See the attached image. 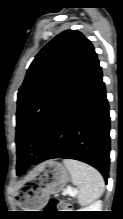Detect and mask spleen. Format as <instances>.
I'll return each mask as SVG.
<instances>
[{"label":"spleen","mask_w":123,"mask_h":219,"mask_svg":"<svg viewBox=\"0 0 123 219\" xmlns=\"http://www.w3.org/2000/svg\"><path fill=\"white\" fill-rule=\"evenodd\" d=\"M63 164L71 175L72 183L79 189V204H91L102 195L104 180L95 168L72 159H64Z\"/></svg>","instance_id":"spleen-1"}]
</instances>
